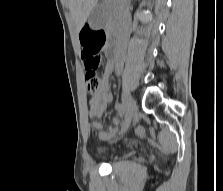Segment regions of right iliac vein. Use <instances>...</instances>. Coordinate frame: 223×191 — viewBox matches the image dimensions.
I'll return each instance as SVG.
<instances>
[{
  "label": "right iliac vein",
  "mask_w": 223,
  "mask_h": 191,
  "mask_svg": "<svg viewBox=\"0 0 223 191\" xmlns=\"http://www.w3.org/2000/svg\"><path fill=\"white\" fill-rule=\"evenodd\" d=\"M122 100H123V103L125 105V110H126L125 123H124L122 131H126L129 128L132 117L134 115V112L136 109V103L127 92L123 93Z\"/></svg>",
  "instance_id": "obj_1"
}]
</instances>
